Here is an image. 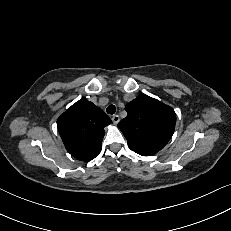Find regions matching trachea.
Here are the masks:
<instances>
[{"label": "trachea", "instance_id": "trachea-1", "mask_svg": "<svg viewBox=\"0 0 231 231\" xmlns=\"http://www.w3.org/2000/svg\"><path fill=\"white\" fill-rule=\"evenodd\" d=\"M108 114H114L116 112V107L114 105H109L106 109Z\"/></svg>", "mask_w": 231, "mask_h": 231}]
</instances>
